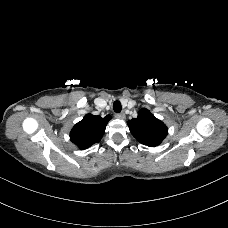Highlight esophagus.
I'll return each instance as SVG.
<instances>
[{"mask_svg": "<svg viewBox=\"0 0 228 228\" xmlns=\"http://www.w3.org/2000/svg\"><path fill=\"white\" fill-rule=\"evenodd\" d=\"M115 117L118 118V119H124L125 118V114L124 113H117L115 115Z\"/></svg>", "mask_w": 228, "mask_h": 228, "instance_id": "esophagus-1", "label": "esophagus"}]
</instances>
